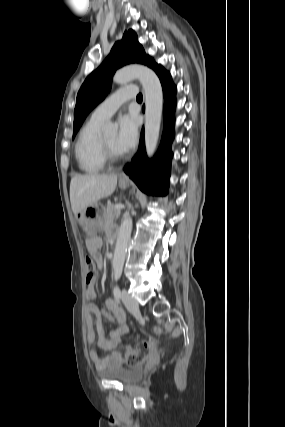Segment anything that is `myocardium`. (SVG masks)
Instances as JSON below:
<instances>
[{
    "label": "myocardium",
    "mask_w": 285,
    "mask_h": 427,
    "mask_svg": "<svg viewBox=\"0 0 285 427\" xmlns=\"http://www.w3.org/2000/svg\"><path fill=\"white\" fill-rule=\"evenodd\" d=\"M100 154L105 164H113L124 159L123 154L115 153L107 144L103 135L100 137Z\"/></svg>",
    "instance_id": "1"
}]
</instances>
